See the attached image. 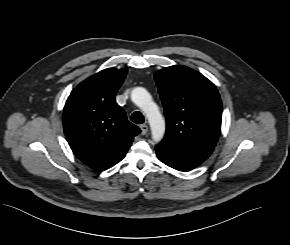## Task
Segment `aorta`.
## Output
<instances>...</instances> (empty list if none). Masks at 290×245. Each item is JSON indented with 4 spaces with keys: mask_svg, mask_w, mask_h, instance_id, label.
<instances>
[{
    "mask_svg": "<svg viewBox=\"0 0 290 245\" xmlns=\"http://www.w3.org/2000/svg\"><path fill=\"white\" fill-rule=\"evenodd\" d=\"M132 101L145 113L152 133V140L158 143L165 133V120L158 106L151 100L150 94L142 87H136L131 93Z\"/></svg>",
    "mask_w": 290,
    "mask_h": 245,
    "instance_id": "aorta-1",
    "label": "aorta"
}]
</instances>
